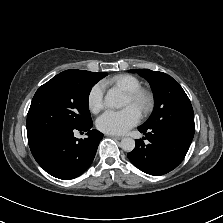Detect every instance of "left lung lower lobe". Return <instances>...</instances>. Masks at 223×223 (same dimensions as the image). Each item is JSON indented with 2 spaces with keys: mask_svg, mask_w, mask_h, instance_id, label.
I'll return each instance as SVG.
<instances>
[{
  "mask_svg": "<svg viewBox=\"0 0 223 223\" xmlns=\"http://www.w3.org/2000/svg\"><path fill=\"white\" fill-rule=\"evenodd\" d=\"M138 130L144 133L149 144L136 140L135 149L127 156L137 168L150 175H163L176 168L194 136V133L167 127H138Z\"/></svg>",
  "mask_w": 223,
  "mask_h": 223,
  "instance_id": "1",
  "label": "left lung lower lobe"
}]
</instances>
